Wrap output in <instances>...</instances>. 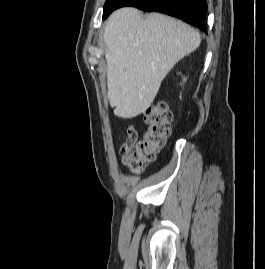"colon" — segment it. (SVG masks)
Returning a JSON list of instances; mask_svg holds the SVG:
<instances>
[{
	"label": "colon",
	"instance_id": "colon-1",
	"mask_svg": "<svg viewBox=\"0 0 265 269\" xmlns=\"http://www.w3.org/2000/svg\"><path fill=\"white\" fill-rule=\"evenodd\" d=\"M143 115L146 129L142 137L138 139L136 126H129L120 148L125 164L136 173L155 160L170 134L172 122V112L164 102L151 105Z\"/></svg>",
	"mask_w": 265,
	"mask_h": 269
}]
</instances>
